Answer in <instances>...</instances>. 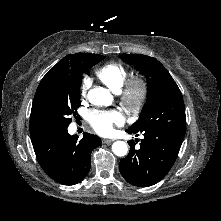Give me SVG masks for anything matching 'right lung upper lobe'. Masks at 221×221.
I'll list each match as a JSON object with an SVG mask.
<instances>
[{
    "label": "right lung upper lobe",
    "mask_w": 221,
    "mask_h": 221,
    "mask_svg": "<svg viewBox=\"0 0 221 221\" xmlns=\"http://www.w3.org/2000/svg\"><path fill=\"white\" fill-rule=\"evenodd\" d=\"M83 53H77V54H70L64 57L62 60H60L51 70L47 72V74L43 77L41 82L49 80V79H56L62 77L64 74H66L68 71L71 70L76 60L82 55ZM45 132L39 130L34 121L31 114L30 117V136L36 137L41 134H44Z\"/></svg>",
    "instance_id": "right-lung-upper-lobe-1"
}]
</instances>
